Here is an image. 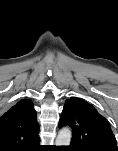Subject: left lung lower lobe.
Listing matches in <instances>:
<instances>
[{"mask_svg": "<svg viewBox=\"0 0 118 151\" xmlns=\"http://www.w3.org/2000/svg\"><path fill=\"white\" fill-rule=\"evenodd\" d=\"M68 149V151H73L74 150V148L72 147V146H69V147H67Z\"/></svg>", "mask_w": 118, "mask_h": 151, "instance_id": "0a47b994", "label": "left lung lower lobe"}]
</instances>
